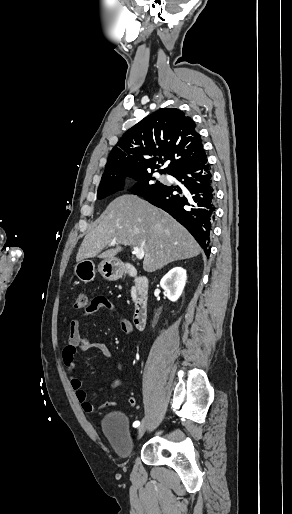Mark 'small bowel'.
I'll use <instances>...</instances> for the list:
<instances>
[{
  "instance_id": "small-bowel-1",
  "label": "small bowel",
  "mask_w": 292,
  "mask_h": 514,
  "mask_svg": "<svg viewBox=\"0 0 292 514\" xmlns=\"http://www.w3.org/2000/svg\"><path fill=\"white\" fill-rule=\"evenodd\" d=\"M99 309H106L108 311H112L114 309L113 303L109 298H107L104 295H96L94 296L90 303L89 308L85 312L84 316L89 315L91 313H94L98 311ZM121 327L123 331L127 335H132L134 333V328L125 320H120ZM89 349H96L99 352H101L107 359H110L112 357L111 350L109 346L102 342V341H92L89 338L82 336L80 332V320L78 318H74L70 321L69 324V331H68V340L63 348L62 351V360L64 362V365L67 369V371L72 374L76 369V361H75V355L79 351L83 350H89ZM125 369V365L123 361L118 362V370L120 373H123ZM70 386L73 389V391L76 394V397L80 404H83V411L84 412H90L91 414H94L97 410V412H100V410H104V405H94L92 407V404L88 401V396L86 391L83 389V383L82 381L76 377L71 375L70 379ZM123 383V377H118L115 380H113L108 386L110 388L117 387ZM104 388L103 384H100L98 387V390H102ZM120 396H125V393H120ZM135 393L133 391H130L128 393L127 400L129 401L130 405H136L137 401L134 400ZM106 405L109 406H115L117 404V401L115 399H109L105 401ZM109 406H106V409H109Z\"/></svg>"
}]
</instances>
